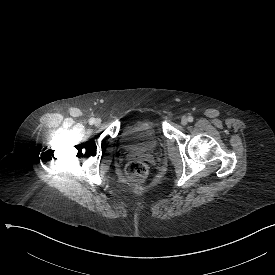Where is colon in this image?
Instances as JSON below:
<instances>
[{
  "instance_id": "5ec220e1",
  "label": "colon",
  "mask_w": 275,
  "mask_h": 275,
  "mask_svg": "<svg viewBox=\"0 0 275 275\" xmlns=\"http://www.w3.org/2000/svg\"><path fill=\"white\" fill-rule=\"evenodd\" d=\"M126 171L129 177L138 179L145 176L147 172V166L144 161L135 160L127 164Z\"/></svg>"
}]
</instances>
